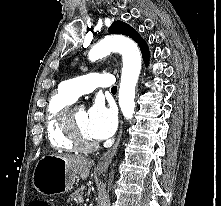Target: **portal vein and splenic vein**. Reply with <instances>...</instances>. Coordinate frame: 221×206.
Wrapping results in <instances>:
<instances>
[{
	"mask_svg": "<svg viewBox=\"0 0 221 206\" xmlns=\"http://www.w3.org/2000/svg\"><path fill=\"white\" fill-rule=\"evenodd\" d=\"M78 201H79V203H83V198L82 197L79 198Z\"/></svg>",
	"mask_w": 221,
	"mask_h": 206,
	"instance_id": "portal-vein-and-splenic-vein-1",
	"label": "portal vein and splenic vein"
}]
</instances>
